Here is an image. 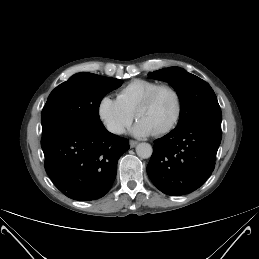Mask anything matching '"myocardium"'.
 Listing matches in <instances>:
<instances>
[{"label": "myocardium", "mask_w": 259, "mask_h": 259, "mask_svg": "<svg viewBox=\"0 0 259 259\" xmlns=\"http://www.w3.org/2000/svg\"><path fill=\"white\" fill-rule=\"evenodd\" d=\"M163 90H167L169 92H171L175 98L176 101V113L174 118L172 119V121L163 129L152 132V134L154 136H162L165 134H168L169 132H171L174 128H176V126L178 125V123L180 122L181 116H182V112H183V104H182V98L181 95L179 93V91L172 85L170 84H160L157 85L154 89H152L143 99V101L141 102V104L139 105L137 112H136V119L139 121L141 115L151 107V105L154 103L157 95L159 94V92L163 91Z\"/></svg>", "instance_id": "obj_1"}]
</instances>
